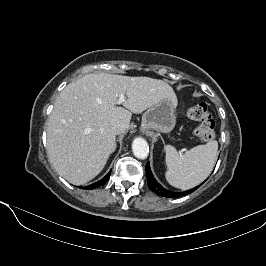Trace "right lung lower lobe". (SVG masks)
I'll use <instances>...</instances> for the list:
<instances>
[{"mask_svg": "<svg viewBox=\"0 0 266 266\" xmlns=\"http://www.w3.org/2000/svg\"><path fill=\"white\" fill-rule=\"evenodd\" d=\"M110 174H111V171H109V173L103 179H101L100 181H98V182H96V183H94L92 185H89V186H86V187H80V188H82V189H95V188H97L99 186H102L108 181V179L110 177Z\"/></svg>", "mask_w": 266, "mask_h": 266, "instance_id": "obj_1", "label": "right lung lower lobe"}]
</instances>
